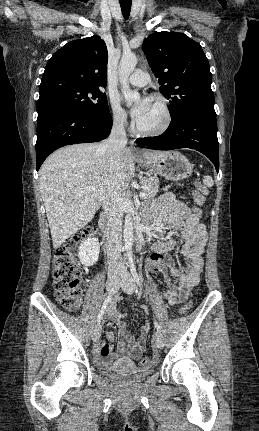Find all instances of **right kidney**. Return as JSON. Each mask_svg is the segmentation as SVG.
<instances>
[{"label":"right kidney","mask_w":259,"mask_h":431,"mask_svg":"<svg viewBox=\"0 0 259 431\" xmlns=\"http://www.w3.org/2000/svg\"><path fill=\"white\" fill-rule=\"evenodd\" d=\"M100 246L96 238H88L79 247L78 256L85 266H93L99 258Z\"/></svg>","instance_id":"right-kidney-1"}]
</instances>
